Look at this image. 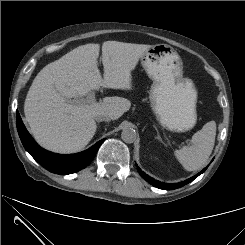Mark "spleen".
<instances>
[{
    "instance_id": "obj_1",
    "label": "spleen",
    "mask_w": 245,
    "mask_h": 245,
    "mask_svg": "<svg viewBox=\"0 0 245 245\" xmlns=\"http://www.w3.org/2000/svg\"><path fill=\"white\" fill-rule=\"evenodd\" d=\"M216 136V123L210 121L191 139V145L175 150L174 154L185 170L195 171L202 168L212 153Z\"/></svg>"
}]
</instances>
